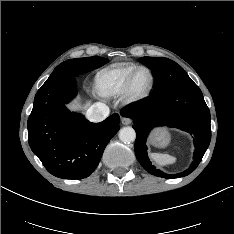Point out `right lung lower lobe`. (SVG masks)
I'll return each mask as SVG.
<instances>
[{"instance_id":"98d812e1","label":"right lung lower lobe","mask_w":234,"mask_h":234,"mask_svg":"<svg viewBox=\"0 0 234 234\" xmlns=\"http://www.w3.org/2000/svg\"><path fill=\"white\" fill-rule=\"evenodd\" d=\"M76 94L75 75L54 71L38 90L27 125L31 150L48 172L64 179L88 177L120 128L118 114L91 123L69 112L65 104Z\"/></svg>"}]
</instances>
